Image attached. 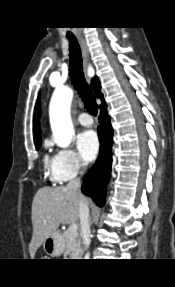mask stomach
<instances>
[{"instance_id": "stomach-1", "label": "stomach", "mask_w": 175, "mask_h": 287, "mask_svg": "<svg viewBox=\"0 0 175 287\" xmlns=\"http://www.w3.org/2000/svg\"><path fill=\"white\" fill-rule=\"evenodd\" d=\"M65 240L61 233L54 232L43 242L44 251L50 256H59L64 251Z\"/></svg>"}]
</instances>
